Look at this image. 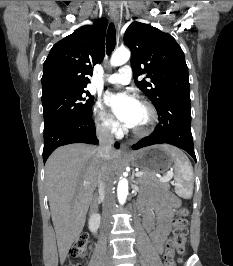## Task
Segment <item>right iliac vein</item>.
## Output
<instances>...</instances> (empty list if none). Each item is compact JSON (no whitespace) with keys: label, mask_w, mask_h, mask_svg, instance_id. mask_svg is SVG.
<instances>
[{"label":"right iliac vein","mask_w":233,"mask_h":266,"mask_svg":"<svg viewBox=\"0 0 233 266\" xmlns=\"http://www.w3.org/2000/svg\"><path fill=\"white\" fill-rule=\"evenodd\" d=\"M108 266H112V257H111V256L109 257V263H108Z\"/></svg>","instance_id":"obj_1"}]
</instances>
